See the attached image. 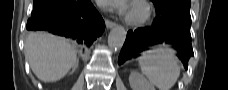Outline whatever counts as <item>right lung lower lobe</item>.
Wrapping results in <instances>:
<instances>
[{"label": "right lung lower lobe", "mask_w": 228, "mask_h": 90, "mask_svg": "<svg viewBox=\"0 0 228 90\" xmlns=\"http://www.w3.org/2000/svg\"><path fill=\"white\" fill-rule=\"evenodd\" d=\"M26 28L71 38L86 49L102 35L105 23L90 0H34Z\"/></svg>", "instance_id": "1"}]
</instances>
